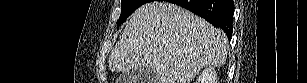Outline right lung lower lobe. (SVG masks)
Masks as SVG:
<instances>
[{
	"label": "right lung lower lobe",
	"instance_id": "1",
	"mask_svg": "<svg viewBox=\"0 0 307 83\" xmlns=\"http://www.w3.org/2000/svg\"><path fill=\"white\" fill-rule=\"evenodd\" d=\"M170 2L201 16L214 27L222 28L227 37H231L233 0H170Z\"/></svg>",
	"mask_w": 307,
	"mask_h": 83
}]
</instances>
